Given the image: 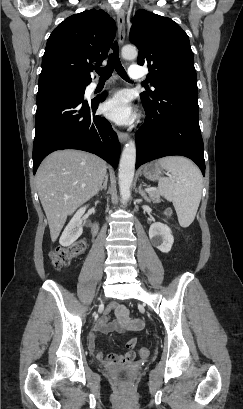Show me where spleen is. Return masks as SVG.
<instances>
[{
  "label": "spleen",
  "mask_w": 243,
  "mask_h": 409,
  "mask_svg": "<svg viewBox=\"0 0 243 409\" xmlns=\"http://www.w3.org/2000/svg\"><path fill=\"white\" fill-rule=\"evenodd\" d=\"M158 163L168 175L159 179V191L173 203L179 224L188 227L195 219L201 200V172L184 157H165Z\"/></svg>",
  "instance_id": "obj_1"
}]
</instances>
